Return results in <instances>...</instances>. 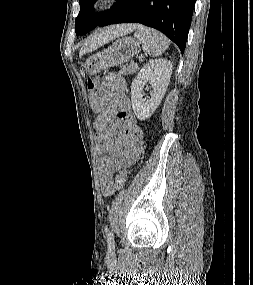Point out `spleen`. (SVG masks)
Wrapping results in <instances>:
<instances>
[{
	"label": "spleen",
	"instance_id": "3e777b00",
	"mask_svg": "<svg viewBox=\"0 0 253 285\" xmlns=\"http://www.w3.org/2000/svg\"><path fill=\"white\" fill-rule=\"evenodd\" d=\"M135 36L142 44L143 51L153 57L161 55L169 47V39L155 29L137 25Z\"/></svg>",
	"mask_w": 253,
	"mask_h": 285
}]
</instances>
